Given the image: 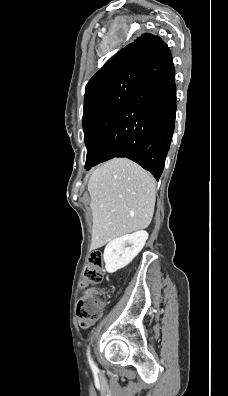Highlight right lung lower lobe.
Returning a JSON list of instances; mask_svg holds the SVG:
<instances>
[{"instance_id": "right-lung-lower-lobe-1", "label": "right lung lower lobe", "mask_w": 228, "mask_h": 396, "mask_svg": "<svg viewBox=\"0 0 228 396\" xmlns=\"http://www.w3.org/2000/svg\"><path fill=\"white\" fill-rule=\"evenodd\" d=\"M175 70L164 43L143 63V73L116 116L93 166L126 157L159 180L176 112Z\"/></svg>"}]
</instances>
